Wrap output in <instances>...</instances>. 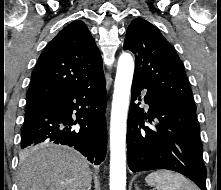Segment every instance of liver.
<instances>
[{
    "label": "liver",
    "mask_w": 221,
    "mask_h": 190,
    "mask_svg": "<svg viewBox=\"0 0 221 190\" xmlns=\"http://www.w3.org/2000/svg\"><path fill=\"white\" fill-rule=\"evenodd\" d=\"M37 146L20 155L19 190H87L88 160L68 147Z\"/></svg>",
    "instance_id": "1"
}]
</instances>
